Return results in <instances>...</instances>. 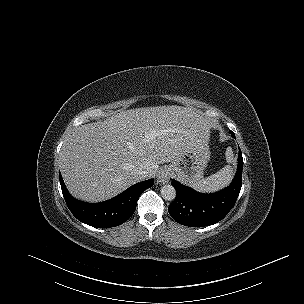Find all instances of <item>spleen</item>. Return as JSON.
<instances>
[{"label": "spleen", "instance_id": "obj_1", "mask_svg": "<svg viewBox=\"0 0 304 304\" xmlns=\"http://www.w3.org/2000/svg\"><path fill=\"white\" fill-rule=\"evenodd\" d=\"M233 152L231 149L226 152L227 162H233ZM233 177V168L227 165L220 169L217 173L210 175L207 178H202L195 186L196 190L201 192H214L227 186Z\"/></svg>", "mask_w": 304, "mask_h": 304}]
</instances>
